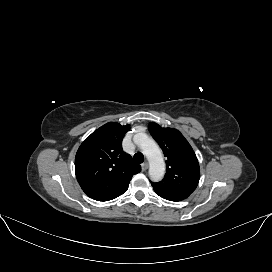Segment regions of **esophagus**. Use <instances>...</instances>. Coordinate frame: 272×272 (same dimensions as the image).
Returning <instances> with one entry per match:
<instances>
[{
    "instance_id": "1",
    "label": "esophagus",
    "mask_w": 272,
    "mask_h": 272,
    "mask_svg": "<svg viewBox=\"0 0 272 272\" xmlns=\"http://www.w3.org/2000/svg\"><path fill=\"white\" fill-rule=\"evenodd\" d=\"M148 166H149V164H148L147 161L143 162L142 165H141L142 170H143V171L147 170V169H148Z\"/></svg>"
}]
</instances>
